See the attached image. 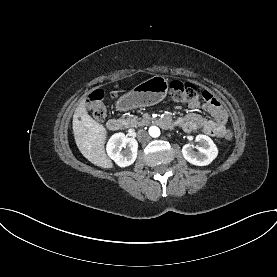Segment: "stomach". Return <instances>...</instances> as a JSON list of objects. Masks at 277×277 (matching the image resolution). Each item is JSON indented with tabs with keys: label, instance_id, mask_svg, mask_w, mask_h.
Listing matches in <instances>:
<instances>
[{
	"label": "stomach",
	"instance_id": "stomach-1",
	"mask_svg": "<svg viewBox=\"0 0 277 277\" xmlns=\"http://www.w3.org/2000/svg\"><path fill=\"white\" fill-rule=\"evenodd\" d=\"M167 92L168 80L164 76L155 75L120 97L117 108L127 111L138 107L152 106L162 101Z\"/></svg>",
	"mask_w": 277,
	"mask_h": 277
}]
</instances>
